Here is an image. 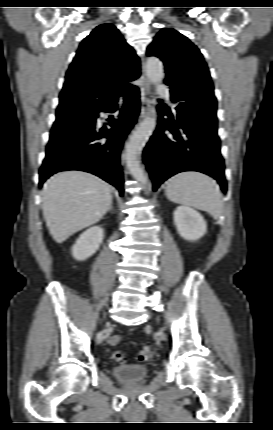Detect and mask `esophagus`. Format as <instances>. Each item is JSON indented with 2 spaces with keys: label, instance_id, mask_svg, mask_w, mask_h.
<instances>
[{
  "label": "esophagus",
  "instance_id": "34e87169",
  "mask_svg": "<svg viewBox=\"0 0 273 430\" xmlns=\"http://www.w3.org/2000/svg\"><path fill=\"white\" fill-rule=\"evenodd\" d=\"M141 88V111H140V119L146 117V115L150 111V83L149 80L143 75V80L140 85Z\"/></svg>",
  "mask_w": 273,
  "mask_h": 430
}]
</instances>
